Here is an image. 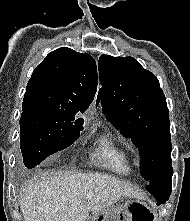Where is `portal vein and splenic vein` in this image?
<instances>
[{
	"instance_id": "portal-vein-and-splenic-vein-1",
	"label": "portal vein and splenic vein",
	"mask_w": 190,
	"mask_h": 221,
	"mask_svg": "<svg viewBox=\"0 0 190 221\" xmlns=\"http://www.w3.org/2000/svg\"><path fill=\"white\" fill-rule=\"evenodd\" d=\"M92 196H93V192H89L88 194H87V198L89 199V198H92Z\"/></svg>"
}]
</instances>
